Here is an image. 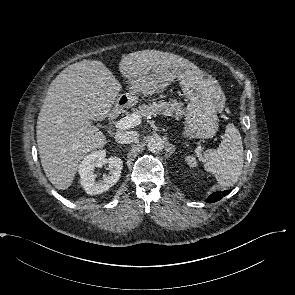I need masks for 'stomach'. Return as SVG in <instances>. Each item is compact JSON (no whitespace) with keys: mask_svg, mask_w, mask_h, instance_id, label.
I'll use <instances>...</instances> for the list:
<instances>
[{"mask_svg":"<svg viewBox=\"0 0 295 295\" xmlns=\"http://www.w3.org/2000/svg\"><path fill=\"white\" fill-rule=\"evenodd\" d=\"M177 79L182 87L183 94L190 103L186 109L184 135L191 138H211L218 131V112H221L225 95L218 81L211 75L199 69H168L160 71L155 69L147 82L154 84L158 90L153 94L164 90L171 82ZM139 94L150 96L152 94H142L139 92H128L120 95L118 102L122 99L137 102Z\"/></svg>","mask_w":295,"mask_h":295,"instance_id":"1","label":"stomach"}]
</instances>
